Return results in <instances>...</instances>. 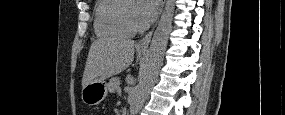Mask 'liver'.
Returning a JSON list of instances; mask_svg holds the SVG:
<instances>
[{"label":"liver","instance_id":"liver-1","mask_svg":"<svg viewBox=\"0 0 285 115\" xmlns=\"http://www.w3.org/2000/svg\"><path fill=\"white\" fill-rule=\"evenodd\" d=\"M134 40L110 37L95 40L88 53L82 86L117 75L134 59Z\"/></svg>","mask_w":285,"mask_h":115}]
</instances>
